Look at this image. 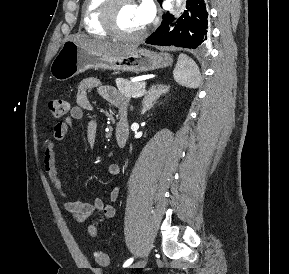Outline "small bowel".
<instances>
[{
  "mask_svg": "<svg viewBox=\"0 0 289 274\" xmlns=\"http://www.w3.org/2000/svg\"><path fill=\"white\" fill-rule=\"evenodd\" d=\"M92 90H97L98 93L109 103L121 108L122 110L125 109L126 100L116 88L104 85L97 78L93 77L82 80L78 84L76 90V105L70 109V115L67 119L54 126L52 137L46 142L43 163L44 169L51 183L55 187L59 196L63 199V209L71 215L73 221L82 223L94 214L99 215L87 227L89 237L95 238L98 234L99 226L114 217L115 207L113 206V202L117 200L120 188L116 186L111 189L107 202L100 198H94L86 202L72 199L69 193L63 188L62 174L57 164V156L55 152L57 144L65 139L72 122L74 120L82 119L85 112L92 111V105L89 100V93ZM86 140L90 147L95 146L97 140V123L94 116H92L88 122ZM107 173L111 177L118 176L120 174L119 165H108Z\"/></svg>",
  "mask_w": 289,
  "mask_h": 274,
  "instance_id": "small-bowel-1",
  "label": "small bowel"
}]
</instances>
